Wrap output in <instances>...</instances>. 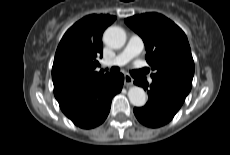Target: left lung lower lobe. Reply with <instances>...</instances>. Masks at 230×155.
Instances as JSON below:
<instances>
[{"label":"left lung lower lobe","mask_w":230,"mask_h":155,"mask_svg":"<svg viewBox=\"0 0 230 155\" xmlns=\"http://www.w3.org/2000/svg\"><path fill=\"white\" fill-rule=\"evenodd\" d=\"M134 84L148 89L149 101L144 107L134 108L139 122L151 128L161 127L173 119L185 101L186 96L157 82L152 84L136 79Z\"/></svg>","instance_id":"obj_1"}]
</instances>
